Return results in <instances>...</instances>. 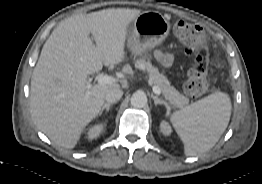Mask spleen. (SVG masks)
Returning a JSON list of instances; mask_svg holds the SVG:
<instances>
[{
    "label": "spleen",
    "mask_w": 262,
    "mask_h": 184,
    "mask_svg": "<svg viewBox=\"0 0 262 184\" xmlns=\"http://www.w3.org/2000/svg\"><path fill=\"white\" fill-rule=\"evenodd\" d=\"M228 94L215 92L172 113V122L184 143L186 156L210 150L226 130L231 116Z\"/></svg>",
    "instance_id": "1"
}]
</instances>
